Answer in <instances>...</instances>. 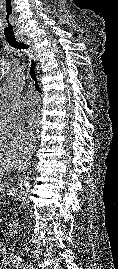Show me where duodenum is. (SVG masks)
I'll list each match as a JSON object with an SVG mask.
<instances>
[{
  "label": "duodenum",
  "instance_id": "duodenum-1",
  "mask_svg": "<svg viewBox=\"0 0 118 269\" xmlns=\"http://www.w3.org/2000/svg\"><path fill=\"white\" fill-rule=\"evenodd\" d=\"M20 227H21L20 222H18V221H11L6 226V232L9 235H14V234H16L19 231Z\"/></svg>",
  "mask_w": 118,
  "mask_h": 269
}]
</instances>
